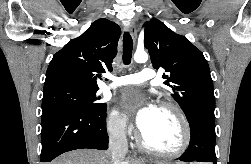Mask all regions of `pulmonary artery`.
Listing matches in <instances>:
<instances>
[{
	"label": "pulmonary artery",
	"instance_id": "1",
	"mask_svg": "<svg viewBox=\"0 0 251 164\" xmlns=\"http://www.w3.org/2000/svg\"><path fill=\"white\" fill-rule=\"evenodd\" d=\"M154 78H155L154 70L150 68H144L138 73L124 75L116 78L114 82L106 85L104 89L109 90L120 86L141 84L152 81Z\"/></svg>",
	"mask_w": 251,
	"mask_h": 164
}]
</instances>
